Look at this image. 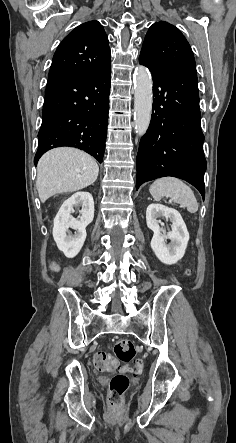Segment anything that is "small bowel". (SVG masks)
Segmentation results:
<instances>
[{
  "instance_id": "c3829d8e",
  "label": "small bowel",
  "mask_w": 236,
  "mask_h": 443,
  "mask_svg": "<svg viewBox=\"0 0 236 443\" xmlns=\"http://www.w3.org/2000/svg\"><path fill=\"white\" fill-rule=\"evenodd\" d=\"M51 269L54 271H58L59 266L54 261H51Z\"/></svg>"
}]
</instances>
